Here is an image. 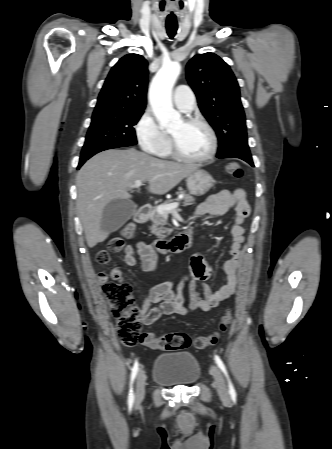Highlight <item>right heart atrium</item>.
I'll return each mask as SVG.
<instances>
[{
	"mask_svg": "<svg viewBox=\"0 0 332 449\" xmlns=\"http://www.w3.org/2000/svg\"><path fill=\"white\" fill-rule=\"evenodd\" d=\"M135 129L141 148L149 154L161 155L170 146L169 136L159 127L149 111L142 114Z\"/></svg>",
	"mask_w": 332,
	"mask_h": 449,
	"instance_id": "d8ad5b80",
	"label": "right heart atrium"
}]
</instances>
